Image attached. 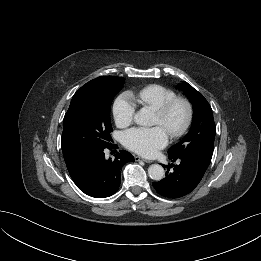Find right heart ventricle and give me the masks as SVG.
Wrapping results in <instances>:
<instances>
[{
	"label": "right heart ventricle",
	"instance_id": "obj_1",
	"mask_svg": "<svg viewBox=\"0 0 261 261\" xmlns=\"http://www.w3.org/2000/svg\"><path fill=\"white\" fill-rule=\"evenodd\" d=\"M131 96L141 105L157 110L176 97V93L166 86L150 84L132 93Z\"/></svg>",
	"mask_w": 261,
	"mask_h": 261
}]
</instances>
